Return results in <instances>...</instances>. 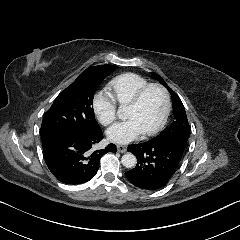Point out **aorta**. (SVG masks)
<instances>
[{"label": "aorta", "mask_w": 240, "mask_h": 240, "mask_svg": "<svg viewBox=\"0 0 240 240\" xmlns=\"http://www.w3.org/2000/svg\"><path fill=\"white\" fill-rule=\"evenodd\" d=\"M121 162L124 167L133 168L137 164V159L133 154L127 153L122 156Z\"/></svg>", "instance_id": "762f6f07"}]
</instances>
